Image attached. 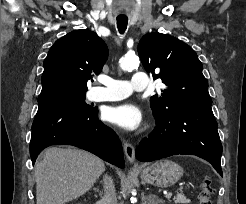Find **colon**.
Segmentation results:
<instances>
[{
    "mask_svg": "<svg viewBox=\"0 0 246 204\" xmlns=\"http://www.w3.org/2000/svg\"><path fill=\"white\" fill-rule=\"evenodd\" d=\"M214 192V187L210 179H204L201 184L198 195L199 204H212L211 195Z\"/></svg>",
    "mask_w": 246,
    "mask_h": 204,
    "instance_id": "5ec220e1",
    "label": "colon"
}]
</instances>
